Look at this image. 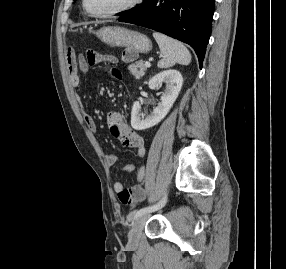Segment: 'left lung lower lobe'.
I'll list each match as a JSON object with an SVG mask.
<instances>
[{"label":"left lung lower lobe","mask_w":286,"mask_h":269,"mask_svg":"<svg viewBox=\"0 0 286 269\" xmlns=\"http://www.w3.org/2000/svg\"><path fill=\"white\" fill-rule=\"evenodd\" d=\"M215 0H149L143 7L119 18L162 32L189 44L200 68L212 29Z\"/></svg>","instance_id":"left-lung-lower-lobe-1"}]
</instances>
